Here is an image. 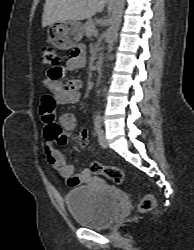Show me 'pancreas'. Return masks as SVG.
<instances>
[{
  "label": "pancreas",
  "instance_id": "pancreas-1",
  "mask_svg": "<svg viewBox=\"0 0 194 250\" xmlns=\"http://www.w3.org/2000/svg\"><path fill=\"white\" fill-rule=\"evenodd\" d=\"M95 30H96V23L92 19H88L83 27L85 35L90 37L94 34Z\"/></svg>",
  "mask_w": 194,
  "mask_h": 250
}]
</instances>
